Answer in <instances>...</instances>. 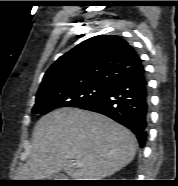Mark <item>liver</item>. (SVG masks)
Returning <instances> with one entry per match:
<instances>
[{"instance_id":"liver-1","label":"liver","mask_w":178,"mask_h":186,"mask_svg":"<svg viewBox=\"0 0 178 186\" xmlns=\"http://www.w3.org/2000/svg\"><path fill=\"white\" fill-rule=\"evenodd\" d=\"M137 141L124 126L99 113L60 108L35 125L21 180H44L63 170L73 180H101L134 158Z\"/></svg>"}]
</instances>
